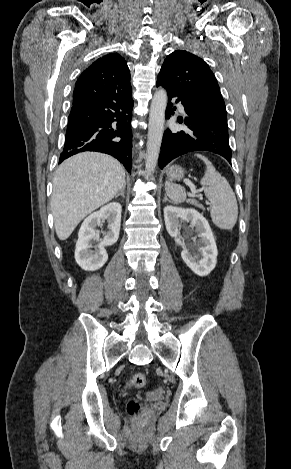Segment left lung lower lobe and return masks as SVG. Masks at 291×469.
Instances as JSON below:
<instances>
[{
    "mask_svg": "<svg viewBox=\"0 0 291 469\" xmlns=\"http://www.w3.org/2000/svg\"><path fill=\"white\" fill-rule=\"evenodd\" d=\"M163 84L157 82V86ZM167 90L169 102L166 108V116L170 118L176 107L170 102L176 97V102H181L185 108L187 117L184 123L186 131L164 132L159 155V166L162 169L174 158L191 151H211L217 153L231 163V149L228 140L227 115L216 112L195 101ZM183 120H179L181 123Z\"/></svg>",
    "mask_w": 291,
    "mask_h": 469,
    "instance_id": "obj_1",
    "label": "left lung lower lobe"
}]
</instances>
